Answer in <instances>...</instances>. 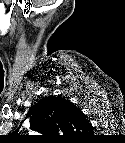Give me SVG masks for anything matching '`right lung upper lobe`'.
Wrapping results in <instances>:
<instances>
[{"mask_svg": "<svg viewBox=\"0 0 125 143\" xmlns=\"http://www.w3.org/2000/svg\"><path fill=\"white\" fill-rule=\"evenodd\" d=\"M30 114L34 129H52L58 134H79L92 129L80 109L58 97L42 98L31 107Z\"/></svg>", "mask_w": 125, "mask_h": 143, "instance_id": "1", "label": "right lung upper lobe"}]
</instances>
